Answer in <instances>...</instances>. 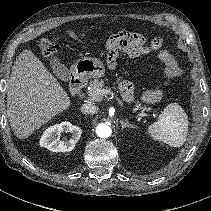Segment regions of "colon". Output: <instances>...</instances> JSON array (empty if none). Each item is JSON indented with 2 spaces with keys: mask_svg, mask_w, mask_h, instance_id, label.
Instances as JSON below:
<instances>
[{
  "mask_svg": "<svg viewBox=\"0 0 211 211\" xmlns=\"http://www.w3.org/2000/svg\"><path fill=\"white\" fill-rule=\"evenodd\" d=\"M69 36L82 42V38L74 32L70 31ZM111 40L113 43L106 47V61L109 67L113 68L116 64V59L119 53H125L130 56H138L147 53L151 50H155L158 53L159 59L164 63V80L161 85L146 91L143 95V99L146 103L157 104L163 96L165 88L180 74V68L175 59L165 50H162L163 40L160 37L153 38L149 45H145V39L138 33H129L127 31H121L115 34ZM39 49L41 53L49 58L54 59L59 51V46L50 39L44 38L39 42Z\"/></svg>",
  "mask_w": 211,
  "mask_h": 211,
  "instance_id": "5ec220e1",
  "label": "colon"
}]
</instances>
